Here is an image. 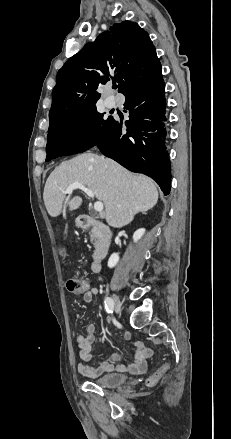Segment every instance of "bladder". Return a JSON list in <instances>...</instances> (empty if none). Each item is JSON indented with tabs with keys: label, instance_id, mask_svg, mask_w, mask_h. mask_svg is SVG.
Here are the masks:
<instances>
[{
	"label": "bladder",
	"instance_id": "1",
	"mask_svg": "<svg viewBox=\"0 0 231 439\" xmlns=\"http://www.w3.org/2000/svg\"><path fill=\"white\" fill-rule=\"evenodd\" d=\"M128 377L122 373H106L93 379V382L102 387H117L124 384Z\"/></svg>",
	"mask_w": 231,
	"mask_h": 439
}]
</instances>
